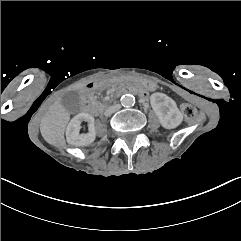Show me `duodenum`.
<instances>
[{"label": "duodenum", "instance_id": "1", "mask_svg": "<svg viewBox=\"0 0 241 241\" xmlns=\"http://www.w3.org/2000/svg\"><path fill=\"white\" fill-rule=\"evenodd\" d=\"M102 84L103 82L100 80L90 82L82 91V106L84 110L91 112L95 115L99 113V109L93 104L92 96H93V93L102 86ZM126 93L135 94L141 98H144L147 95V92L139 87L126 86L117 90L113 94V97L118 98L121 95Z\"/></svg>", "mask_w": 241, "mask_h": 241}]
</instances>
